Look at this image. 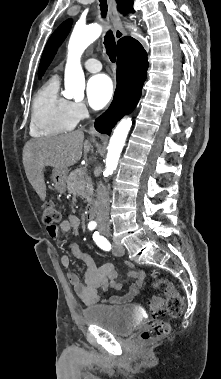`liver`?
Returning <instances> with one entry per match:
<instances>
[{
	"instance_id": "liver-1",
	"label": "liver",
	"mask_w": 221,
	"mask_h": 379,
	"mask_svg": "<svg viewBox=\"0 0 221 379\" xmlns=\"http://www.w3.org/2000/svg\"><path fill=\"white\" fill-rule=\"evenodd\" d=\"M83 148L87 154L91 144L89 140L84 142L82 131L32 139L25 144L23 164L26 176L42 201L46 198L45 166L68 168L81 159Z\"/></svg>"
}]
</instances>
